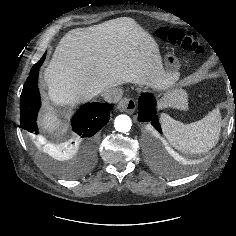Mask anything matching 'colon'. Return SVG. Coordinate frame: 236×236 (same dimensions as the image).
Here are the masks:
<instances>
[{
  "label": "colon",
  "mask_w": 236,
  "mask_h": 236,
  "mask_svg": "<svg viewBox=\"0 0 236 236\" xmlns=\"http://www.w3.org/2000/svg\"><path fill=\"white\" fill-rule=\"evenodd\" d=\"M158 34L161 39L167 40L171 44L194 54H202L204 52L202 44L193 35L184 31L178 29H160Z\"/></svg>",
  "instance_id": "obj_1"
}]
</instances>
